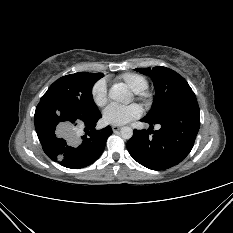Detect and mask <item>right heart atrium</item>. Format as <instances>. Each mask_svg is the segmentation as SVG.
Returning a JSON list of instances; mask_svg holds the SVG:
<instances>
[{
  "mask_svg": "<svg viewBox=\"0 0 233 233\" xmlns=\"http://www.w3.org/2000/svg\"><path fill=\"white\" fill-rule=\"evenodd\" d=\"M91 97L94 104L103 107L107 103V88L104 81L100 80L94 84L91 90Z\"/></svg>",
  "mask_w": 233,
  "mask_h": 233,
  "instance_id": "1",
  "label": "right heart atrium"
}]
</instances>
